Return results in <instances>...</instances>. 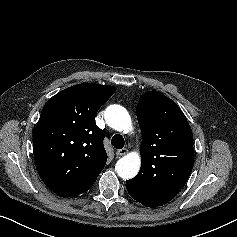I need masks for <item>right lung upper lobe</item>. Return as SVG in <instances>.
I'll list each match as a JSON object with an SVG mask.
<instances>
[{"mask_svg": "<svg viewBox=\"0 0 237 237\" xmlns=\"http://www.w3.org/2000/svg\"><path fill=\"white\" fill-rule=\"evenodd\" d=\"M114 86L83 83L45 104L33 132V153L46 186L61 196L89 190L106 165L105 132L95 123Z\"/></svg>", "mask_w": 237, "mask_h": 237, "instance_id": "right-lung-upper-lobe-1", "label": "right lung upper lobe"}]
</instances>
